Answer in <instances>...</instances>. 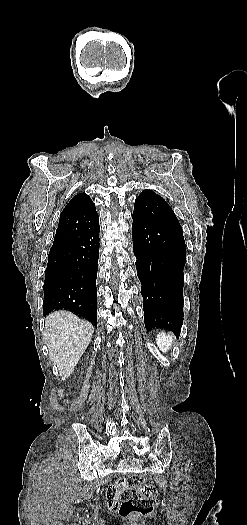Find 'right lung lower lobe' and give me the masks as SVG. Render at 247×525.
I'll list each match as a JSON object with an SVG mask.
<instances>
[{"label": "right lung lower lobe", "mask_w": 247, "mask_h": 525, "mask_svg": "<svg viewBox=\"0 0 247 525\" xmlns=\"http://www.w3.org/2000/svg\"><path fill=\"white\" fill-rule=\"evenodd\" d=\"M98 225L72 242L50 250L45 271L43 315L69 310L97 326Z\"/></svg>", "instance_id": "98d812e1"}]
</instances>
